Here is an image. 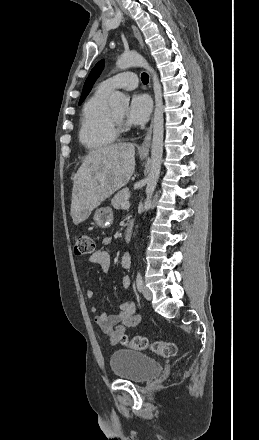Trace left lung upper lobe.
Instances as JSON below:
<instances>
[{
  "label": "left lung upper lobe",
  "instance_id": "left-lung-upper-lobe-1",
  "mask_svg": "<svg viewBox=\"0 0 259 440\" xmlns=\"http://www.w3.org/2000/svg\"><path fill=\"white\" fill-rule=\"evenodd\" d=\"M104 60L99 61L95 67L92 69V71L90 72L85 84H84V88L82 91V95L79 101V104H81L84 99L86 98V96L89 94L91 87L93 86V84L95 83V81L97 80V78L100 76L103 68H104Z\"/></svg>",
  "mask_w": 259,
  "mask_h": 440
}]
</instances>
